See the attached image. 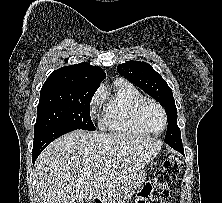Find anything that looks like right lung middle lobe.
Here are the masks:
<instances>
[{"instance_id": "1", "label": "right lung middle lobe", "mask_w": 222, "mask_h": 203, "mask_svg": "<svg viewBox=\"0 0 222 203\" xmlns=\"http://www.w3.org/2000/svg\"><path fill=\"white\" fill-rule=\"evenodd\" d=\"M95 91L75 88L41 90L34 133L55 127L94 131L89 106Z\"/></svg>"}]
</instances>
